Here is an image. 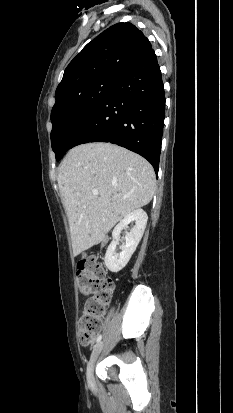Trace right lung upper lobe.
Instances as JSON below:
<instances>
[{"label":"right lung upper lobe","mask_w":233,"mask_h":413,"mask_svg":"<svg viewBox=\"0 0 233 413\" xmlns=\"http://www.w3.org/2000/svg\"><path fill=\"white\" fill-rule=\"evenodd\" d=\"M151 49L149 40L135 25L127 22L109 27L70 62L56 89L55 98L98 78H116Z\"/></svg>","instance_id":"1"}]
</instances>
